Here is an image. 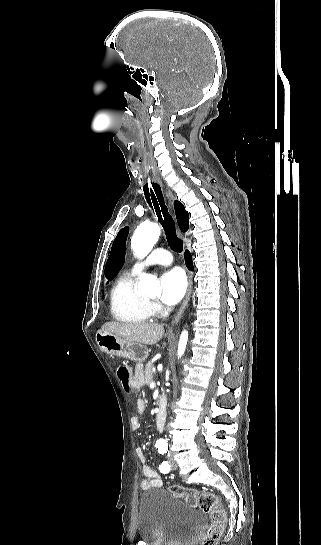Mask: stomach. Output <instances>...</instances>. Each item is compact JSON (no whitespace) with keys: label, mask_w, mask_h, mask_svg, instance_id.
<instances>
[{"label":"stomach","mask_w":321,"mask_h":545,"mask_svg":"<svg viewBox=\"0 0 321 545\" xmlns=\"http://www.w3.org/2000/svg\"><path fill=\"white\" fill-rule=\"evenodd\" d=\"M95 341L103 353L107 355H115V357H122V359H130V361H140L144 363L148 357V351L139 343H133V341H125L120 339L112 333H104V331H97L95 335Z\"/></svg>","instance_id":"obj_1"}]
</instances>
